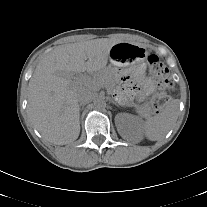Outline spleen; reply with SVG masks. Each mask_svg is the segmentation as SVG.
Returning a JSON list of instances; mask_svg holds the SVG:
<instances>
[{"label": "spleen", "instance_id": "spleen-1", "mask_svg": "<svg viewBox=\"0 0 207 207\" xmlns=\"http://www.w3.org/2000/svg\"><path fill=\"white\" fill-rule=\"evenodd\" d=\"M179 101L172 100L159 114L147 119L142 124L145 137L157 141L166 136L178 119Z\"/></svg>", "mask_w": 207, "mask_h": 207}]
</instances>
